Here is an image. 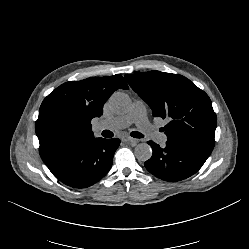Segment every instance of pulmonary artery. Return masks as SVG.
<instances>
[{
  "mask_svg": "<svg viewBox=\"0 0 249 249\" xmlns=\"http://www.w3.org/2000/svg\"><path fill=\"white\" fill-rule=\"evenodd\" d=\"M132 124H135L141 131L153 135L159 144L165 145L167 141L166 134L158 132L155 126L149 122L146 106L144 102L139 99L133 102L128 113L99 122L93 127V131L99 133L103 130L124 129Z\"/></svg>",
  "mask_w": 249,
  "mask_h": 249,
  "instance_id": "e3ab8cb5",
  "label": "pulmonary artery"
}]
</instances>
